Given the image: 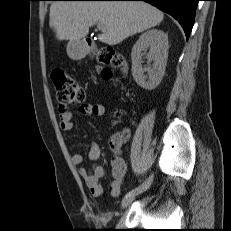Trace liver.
Here are the masks:
<instances>
[{
    "instance_id": "liver-1",
    "label": "liver",
    "mask_w": 231,
    "mask_h": 231,
    "mask_svg": "<svg viewBox=\"0 0 231 231\" xmlns=\"http://www.w3.org/2000/svg\"><path fill=\"white\" fill-rule=\"evenodd\" d=\"M49 17V25L60 41H78L98 22L104 28L99 41L116 45L159 25L164 15L145 2L56 1L51 4Z\"/></svg>"
}]
</instances>
